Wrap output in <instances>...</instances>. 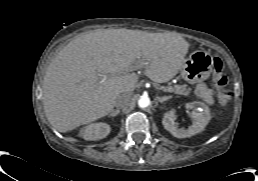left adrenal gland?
<instances>
[{
	"instance_id": "a2214340",
	"label": "left adrenal gland",
	"mask_w": 258,
	"mask_h": 181,
	"mask_svg": "<svg viewBox=\"0 0 258 181\" xmlns=\"http://www.w3.org/2000/svg\"><path fill=\"white\" fill-rule=\"evenodd\" d=\"M171 98H172V96H164V97H157V100H158V102L163 103Z\"/></svg>"
}]
</instances>
